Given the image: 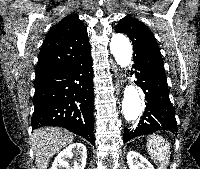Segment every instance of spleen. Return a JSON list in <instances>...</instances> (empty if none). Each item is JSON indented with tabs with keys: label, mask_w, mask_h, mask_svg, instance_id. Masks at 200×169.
<instances>
[{
	"label": "spleen",
	"mask_w": 200,
	"mask_h": 169,
	"mask_svg": "<svg viewBox=\"0 0 200 169\" xmlns=\"http://www.w3.org/2000/svg\"><path fill=\"white\" fill-rule=\"evenodd\" d=\"M148 154L158 169H167L170 160V144L162 136L153 134L147 140Z\"/></svg>",
	"instance_id": "spleen-1"
}]
</instances>
